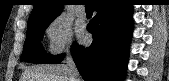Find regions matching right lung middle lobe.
I'll use <instances>...</instances> for the list:
<instances>
[{
  "instance_id": "right-lung-middle-lobe-1",
  "label": "right lung middle lobe",
  "mask_w": 169,
  "mask_h": 81,
  "mask_svg": "<svg viewBox=\"0 0 169 81\" xmlns=\"http://www.w3.org/2000/svg\"><path fill=\"white\" fill-rule=\"evenodd\" d=\"M53 20L54 19L43 20L28 25L21 61L45 64L51 60L53 56L44 51L41 40L45 29Z\"/></svg>"
}]
</instances>
